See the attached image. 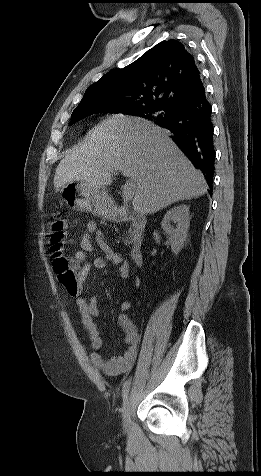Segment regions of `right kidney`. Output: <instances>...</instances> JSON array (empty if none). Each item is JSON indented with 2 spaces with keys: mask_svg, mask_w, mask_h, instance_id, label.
<instances>
[{
  "mask_svg": "<svg viewBox=\"0 0 261 476\" xmlns=\"http://www.w3.org/2000/svg\"><path fill=\"white\" fill-rule=\"evenodd\" d=\"M171 222L175 223L176 227L172 226ZM189 225V207L187 205H177L164 215L161 227L169 236L171 250L176 255L184 247Z\"/></svg>",
  "mask_w": 261,
  "mask_h": 476,
  "instance_id": "1",
  "label": "right kidney"
}]
</instances>
